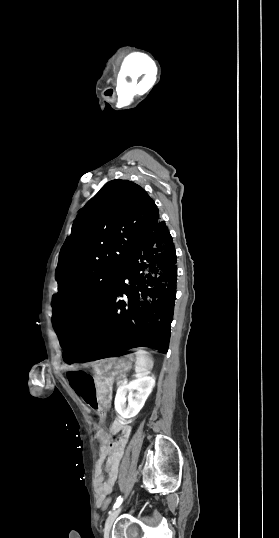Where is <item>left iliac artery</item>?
<instances>
[{
	"mask_svg": "<svg viewBox=\"0 0 279 538\" xmlns=\"http://www.w3.org/2000/svg\"><path fill=\"white\" fill-rule=\"evenodd\" d=\"M122 501H123V497H119V498L116 500V502H115V504H114V506H113V510L116 509V508H118V507L120 506V504L122 503Z\"/></svg>",
	"mask_w": 279,
	"mask_h": 538,
	"instance_id": "44dca946",
	"label": "left iliac artery"
}]
</instances>
